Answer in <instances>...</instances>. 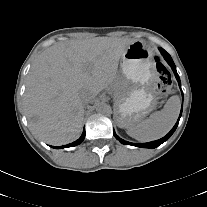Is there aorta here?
Instances as JSON below:
<instances>
[{"label":"aorta","instance_id":"obj_1","mask_svg":"<svg viewBox=\"0 0 207 207\" xmlns=\"http://www.w3.org/2000/svg\"><path fill=\"white\" fill-rule=\"evenodd\" d=\"M110 110L111 107L105 102H100L96 105V111L100 114H108Z\"/></svg>","mask_w":207,"mask_h":207}]
</instances>
